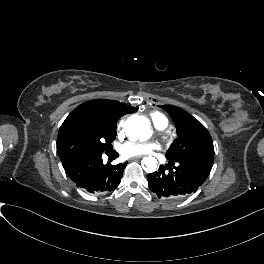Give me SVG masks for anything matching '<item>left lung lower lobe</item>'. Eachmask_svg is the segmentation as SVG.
<instances>
[{
	"instance_id": "1",
	"label": "left lung lower lobe",
	"mask_w": 264,
	"mask_h": 264,
	"mask_svg": "<svg viewBox=\"0 0 264 264\" xmlns=\"http://www.w3.org/2000/svg\"><path fill=\"white\" fill-rule=\"evenodd\" d=\"M148 186L158 198H174L190 194L179 187L173 186L158 176L156 172L147 175Z\"/></svg>"
}]
</instances>
